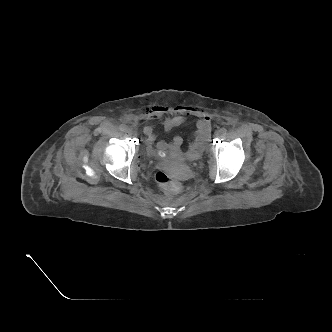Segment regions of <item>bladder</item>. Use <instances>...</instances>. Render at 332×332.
<instances>
[{
	"label": "bladder",
	"instance_id": "obj_1",
	"mask_svg": "<svg viewBox=\"0 0 332 332\" xmlns=\"http://www.w3.org/2000/svg\"><path fill=\"white\" fill-rule=\"evenodd\" d=\"M203 154V150L193 149L191 145L186 150L185 156L189 161L198 160Z\"/></svg>",
	"mask_w": 332,
	"mask_h": 332
}]
</instances>
